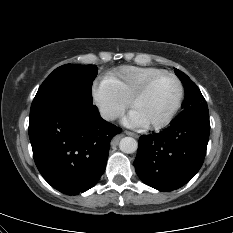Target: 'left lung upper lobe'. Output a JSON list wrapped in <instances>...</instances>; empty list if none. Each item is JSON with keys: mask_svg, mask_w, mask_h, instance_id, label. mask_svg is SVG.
I'll use <instances>...</instances> for the list:
<instances>
[{"mask_svg": "<svg viewBox=\"0 0 233 233\" xmlns=\"http://www.w3.org/2000/svg\"><path fill=\"white\" fill-rule=\"evenodd\" d=\"M175 74L180 78L185 89V100L182 105L183 109L200 102H206L199 88L185 73L175 69Z\"/></svg>", "mask_w": 233, "mask_h": 233, "instance_id": "1", "label": "left lung upper lobe"}]
</instances>
